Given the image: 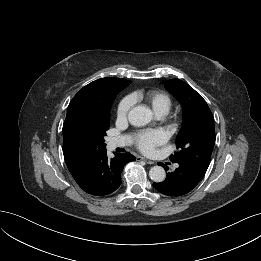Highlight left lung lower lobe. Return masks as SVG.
<instances>
[{"label": "left lung lower lobe", "instance_id": "left-lung-lower-lobe-1", "mask_svg": "<svg viewBox=\"0 0 261 261\" xmlns=\"http://www.w3.org/2000/svg\"><path fill=\"white\" fill-rule=\"evenodd\" d=\"M178 168L170 173L163 182L153 183V187L163 195L179 197L192 191L202 180L191 168L178 163ZM166 167V165L159 163Z\"/></svg>", "mask_w": 261, "mask_h": 261}]
</instances>
